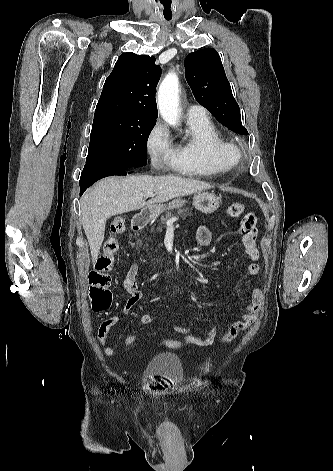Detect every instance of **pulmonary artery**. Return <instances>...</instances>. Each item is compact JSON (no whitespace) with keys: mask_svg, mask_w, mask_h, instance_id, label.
<instances>
[{"mask_svg":"<svg viewBox=\"0 0 333 471\" xmlns=\"http://www.w3.org/2000/svg\"><path fill=\"white\" fill-rule=\"evenodd\" d=\"M206 115V110L200 105H190L187 108V117L188 119L198 118Z\"/></svg>","mask_w":333,"mask_h":471,"instance_id":"e3ab8cb5","label":"pulmonary artery"}]
</instances>
